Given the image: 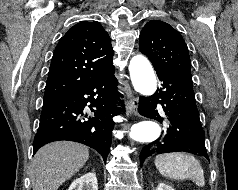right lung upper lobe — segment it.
Wrapping results in <instances>:
<instances>
[{"mask_svg": "<svg viewBox=\"0 0 238 190\" xmlns=\"http://www.w3.org/2000/svg\"><path fill=\"white\" fill-rule=\"evenodd\" d=\"M113 54L110 37L99 22H80L71 27L54 50L43 104L64 98L114 70Z\"/></svg>", "mask_w": 238, "mask_h": 190, "instance_id": "obj_1", "label": "right lung upper lobe"}]
</instances>
